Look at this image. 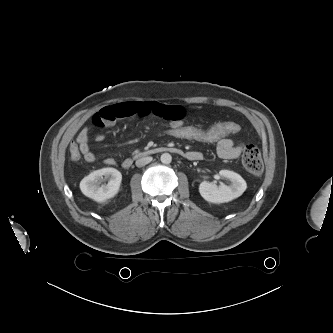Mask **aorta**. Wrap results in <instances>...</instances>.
<instances>
[{
  "label": "aorta",
  "mask_w": 333,
  "mask_h": 333,
  "mask_svg": "<svg viewBox=\"0 0 333 333\" xmlns=\"http://www.w3.org/2000/svg\"><path fill=\"white\" fill-rule=\"evenodd\" d=\"M163 164H170L172 161V156L169 153H163L160 157Z\"/></svg>",
  "instance_id": "aorta-1"
}]
</instances>
